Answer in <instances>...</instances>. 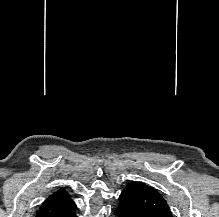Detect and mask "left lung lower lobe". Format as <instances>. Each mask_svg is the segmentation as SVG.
I'll use <instances>...</instances> for the list:
<instances>
[{
	"instance_id": "0a47b994",
	"label": "left lung lower lobe",
	"mask_w": 219,
	"mask_h": 217,
	"mask_svg": "<svg viewBox=\"0 0 219 217\" xmlns=\"http://www.w3.org/2000/svg\"><path fill=\"white\" fill-rule=\"evenodd\" d=\"M115 215H117L118 217H130L126 211L123 208L118 207L115 211H114Z\"/></svg>"
}]
</instances>
